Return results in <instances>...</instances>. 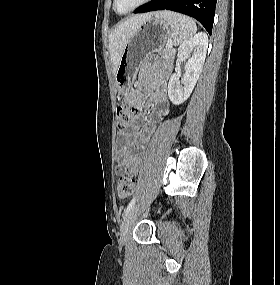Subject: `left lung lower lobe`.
<instances>
[{
  "label": "left lung lower lobe",
  "mask_w": 280,
  "mask_h": 285,
  "mask_svg": "<svg viewBox=\"0 0 280 285\" xmlns=\"http://www.w3.org/2000/svg\"><path fill=\"white\" fill-rule=\"evenodd\" d=\"M217 0H151L134 13L172 10L197 19L211 35Z\"/></svg>",
  "instance_id": "left-lung-lower-lobe-1"
}]
</instances>
